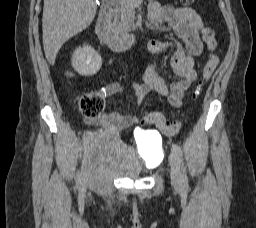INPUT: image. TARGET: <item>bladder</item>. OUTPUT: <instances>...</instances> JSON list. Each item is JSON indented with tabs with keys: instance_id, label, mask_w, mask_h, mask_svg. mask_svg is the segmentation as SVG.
I'll list each match as a JSON object with an SVG mask.
<instances>
[{
	"instance_id": "obj_1",
	"label": "bladder",
	"mask_w": 256,
	"mask_h": 228,
	"mask_svg": "<svg viewBox=\"0 0 256 228\" xmlns=\"http://www.w3.org/2000/svg\"><path fill=\"white\" fill-rule=\"evenodd\" d=\"M142 155L119 138L115 132L90 133L85 144L91 165L110 175L135 179L143 172L154 169L163 157L162 142L157 137L143 135Z\"/></svg>"
}]
</instances>
